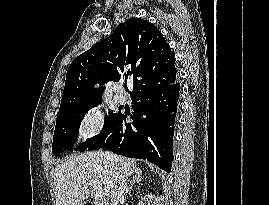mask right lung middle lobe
<instances>
[{
	"instance_id": "obj_1",
	"label": "right lung middle lobe",
	"mask_w": 269,
	"mask_h": 205,
	"mask_svg": "<svg viewBox=\"0 0 269 205\" xmlns=\"http://www.w3.org/2000/svg\"><path fill=\"white\" fill-rule=\"evenodd\" d=\"M100 103L82 109L79 112L58 118L56 121L54 139L52 144V151L54 154H60L65 150L72 151V146L75 143L79 126L81 121L88 110L97 106ZM120 115V113H113L109 110V116L105 118L103 130L97 136L87 139L86 142L81 143L75 148L76 151H84L92 145L98 138H100L105 131L110 127L113 121Z\"/></svg>"
}]
</instances>
